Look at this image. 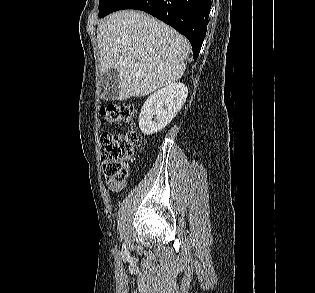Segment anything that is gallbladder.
<instances>
[{
  "instance_id": "bac80fb5",
  "label": "gallbladder",
  "mask_w": 315,
  "mask_h": 293,
  "mask_svg": "<svg viewBox=\"0 0 315 293\" xmlns=\"http://www.w3.org/2000/svg\"><path fill=\"white\" fill-rule=\"evenodd\" d=\"M103 85L107 88L105 92V99L114 101L118 96L119 74L115 68H110L102 77Z\"/></svg>"
}]
</instances>
